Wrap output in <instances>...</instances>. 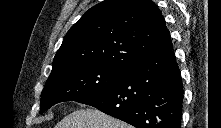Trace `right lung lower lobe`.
<instances>
[{"mask_svg":"<svg viewBox=\"0 0 221 128\" xmlns=\"http://www.w3.org/2000/svg\"><path fill=\"white\" fill-rule=\"evenodd\" d=\"M172 50L139 61L111 86L78 102L136 128H181L184 91Z\"/></svg>","mask_w":221,"mask_h":128,"instance_id":"98d812e1","label":"right lung lower lobe"}]
</instances>
